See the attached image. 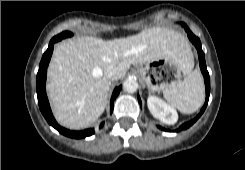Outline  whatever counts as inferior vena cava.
<instances>
[{
	"label": "inferior vena cava",
	"instance_id": "inferior-vena-cava-1",
	"mask_svg": "<svg viewBox=\"0 0 245 170\" xmlns=\"http://www.w3.org/2000/svg\"><path fill=\"white\" fill-rule=\"evenodd\" d=\"M104 75L109 79V80H117L120 78V73L118 69L115 66H109L105 71Z\"/></svg>",
	"mask_w": 245,
	"mask_h": 170
}]
</instances>
